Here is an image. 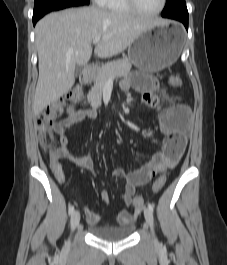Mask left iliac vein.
Wrapping results in <instances>:
<instances>
[{"mask_svg": "<svg viewBox=\"0 0 227 265\" xmlns=\"http://www.w3.org/2000/svg\"><path fill=\"white\" fill-rule=\"evenodd\" d=\"M144 216L147 224L150 226L152 234L154 236V230H153V215L152 212L149 210V208H144ZM154 240L156 241V238L154 236Z\"/></svg>", "mask_w": 227, "mask_h": 265, "instance_id": "4c4485c4", "label": "left iliac vein"}]
</instances>
